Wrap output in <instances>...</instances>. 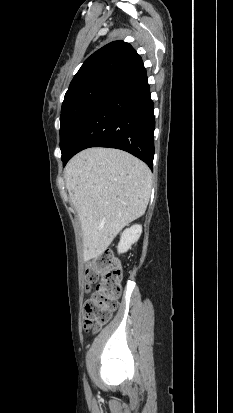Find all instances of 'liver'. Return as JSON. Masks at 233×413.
Returning <instances> with one entry per match:
<instances>
[{"instance_id":"6515ba94","label":"liver","mask_w":233,"mask_h":413,"mask_svg":"<svg viewBox=\"0 0 233 413\" xmlns=\"http://www.w3.org/2000/svg\"><path fill=\"white\" fill-rule=\"evenodd\" d=\"M66 188L83 233V258L104 253L115 236L142 216L152 188L148 166L117 149L89 148L64 169Z\"/></svg>"}]
</instances>
